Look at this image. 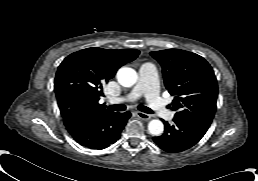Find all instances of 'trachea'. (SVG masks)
<instances>
[{
  "mask_svg": "<svg viewBox=\"0 0 258 181\" xmlns=\"http://www.w3.org/2000/svg\"><path fill=\"white\" fill-rule=\"evenodd\" d=\"M111 107L115 110V111H124L126 109V106L124 104H118V105H111ZM138 110L142 111V112H145V113H148V114H152L153 111L146 107V106H143V105H140L137 107Z\"/></svg>",
  "mask_w": 258,
  "mask_h": 181,
  "instance_id": "3493384b",
  "label": "trachea"
}]
</instances>
